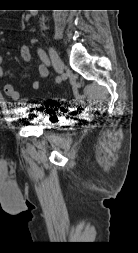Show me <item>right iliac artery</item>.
I'll return each mask as SVG.
<instances>
[{
	"mask_svg": "<svg viewBox=\"0 0 138 253\" xmlns=\"http://www.w3.org/2000/svg\"><path fill=\"white\" fill-rule=\"evenodd\" d=\"M38 54H39L40 59L42 60V62L46 66H49L50 65V61H49V58H48L47 54L45 53V51L40 48V49H38ZM59 81H60V78L57 77L56 78V82H59Z\"/></svg>",
	"mask_w": 138,
	"mask_h": 253,
	"instance_id": "1",
	"label": "right iliac artery"
}]
</instances>
